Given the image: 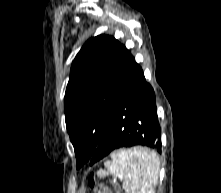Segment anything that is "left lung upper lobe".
I'll return each instance as SVG.
<instances>
[{
	"label": "left lung upper lobe",
	"mask_w": 221,
	"mask_h": 193,
	"mask_svg": "<svg viewBox=\"0 0 221 193\" xmlns=\"http://www.w3.org/2000/svg\"><path fill=\"white\" fill-rule=\"evenodd\" d=\"M134 57L114 37L88 40L71 67L65 93V120L79 169L112 126L120 85Z\"/></svg>",
	"instance_id": "5c2ea615"
}]
</instances>
